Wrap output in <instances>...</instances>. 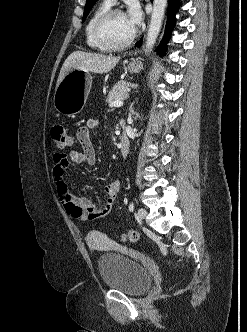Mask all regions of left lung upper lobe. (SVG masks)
<instances>
[{"instance_id":"left-lung-upper-lobe-1","label":"left lung upper lobe","mask_w":247,"mask_h":332,"mask_svg":"<svg viewBox=\"0 0 247 332\" xmlns=\"http://www.w3.org/2000/svg\"><path fill=\"white\" fill-rule=\"evenodd\" d=\"M97 1H98V0H86V4H85V8H84V14H83L82 22H84V20H85L86 17L88 16L90 10L92 9V7L94 6V4H95Z\"/></svg>"}]
</instances>
